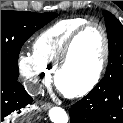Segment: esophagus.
Segmentation results:
<instances>
[{
    "label": "esophagus",
    "instance_id": "34e87169",
    "mask_svg": "<svg viewBox=\"0 0 123 123\" xmlns=\"http://www.w3.org/2000/svg\"><path fill=\"white\" fill-rule=\"evenodd\" d=\"M51 107H52L51 103H43V104H41V108L44 109V110H47V109H49Z\"/></svg>",
    "mask_w": 123,
    "mask_h": 123
}]
</instances>
